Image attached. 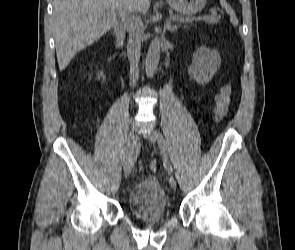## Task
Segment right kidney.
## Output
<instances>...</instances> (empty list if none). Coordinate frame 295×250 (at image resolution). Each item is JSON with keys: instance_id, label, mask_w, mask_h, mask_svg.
<instances>
[{"instance_id": "right-kidney-1", "label": "right kidney", "mask_w": 295, "mask_h": 250, "mask_svg": "<svg viewBox=\"0 0 295 250\" xmlns=\"http://www.w3.org/2000/svg\"><path fill=\"white\" fill-rule=\"evenodd\" d=\"M97 78L98 79H102L103 81L105 80V75L103 74V72H98V74H97Z\"/></svg>"}]
</instances>
